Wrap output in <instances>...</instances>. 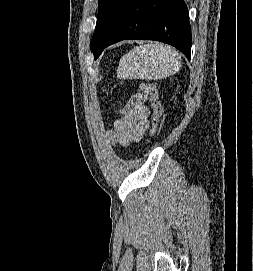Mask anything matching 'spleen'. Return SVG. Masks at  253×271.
Instances as JSON below:
<instances>
[{
    "instance_id": "obj_1",
    "label": "spleen",
    "mask_w": 253,
    "mask_h": 271,
    "mask_svg": "<svg viewBox=\"0 0 253 271\" xmlns=\"http://www.w3.org/2000/svg\"><path fill=\"white\" fill-rule=\"evenodd\" d=\"M181 66V56L170 46L160 43L134 47L122 56L117 68L119 79L162 80Z\"/></svg>"
}]
</instances>
